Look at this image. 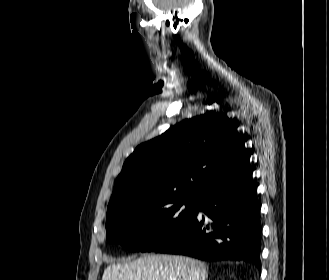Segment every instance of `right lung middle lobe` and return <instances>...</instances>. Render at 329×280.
<instances>
[{
  "label": "right lung middle lobe",
  "instance_id": "right-lung-middle-lobe-1",
  "mask_svg": "<svg viewBox=\"0 0 329 280\" xmlns=\"http://www.w3.org/2000/svg\"><path fill=\"white\" fill-rule=\"evenodd\" d=\"M198 202L197 197L147 196L107 208V240L132 252L154 251L182 230Z\"/></svg>",
  "mask_w": 329,
  "mask_h": 280
}]
</instances>
